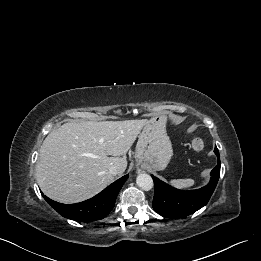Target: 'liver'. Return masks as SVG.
<instances>
[{"instance_id":"6515ba94","label":"liver","mask_w":261,"mask_h":261,"mask_svg":"<svg viewBox=\"0 0 261 261\" xmlns=\"http://www.w3.org/2000/svg\"><path fill=\"white\" fill-rule=\"evenodd\" d=\"M148 120L65 123L42 143L36 177L42 192L61 203L93 197L127 167L126 153Z\"/></svg>"}]
</instances>
